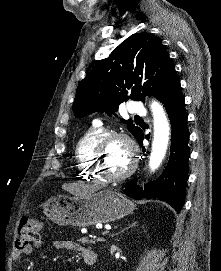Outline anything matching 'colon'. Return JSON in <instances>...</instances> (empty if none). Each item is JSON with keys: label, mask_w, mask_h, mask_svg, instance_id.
<instances>
[{"label": "colon", "mask_w": 221, "mask_h": 271, "mask_svg": "<svg viewBox=\"0 0 221 271\" xmlns=\"http://www.w3.org/2000/svg\"><path fill=\"white\" fill-rule=\"evenodd\" d=\"M44 218H24L21 221L15 246L19 250H25L30 244L38 240L41 230L44 227Z\"/></svg>", "instance_id": "obj_1"}]
</instances>
